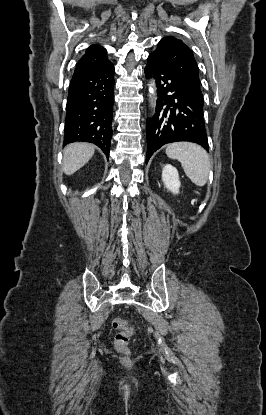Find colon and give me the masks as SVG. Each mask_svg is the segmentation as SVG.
<instances>
[{
  "mask_svg": "<svg viewBox=\"0 0 266 415\" xmlns=\"http://www.w3.org/2000/svg\"><path fill=\"white\" fill-rule=\"evenodd\" d=\"M112 326L114 329L118 331L114 338V344L116 349L119 352H127L129 340L133 335L134 331L133 327L129 324V322L121 318H115L112 321Z\"/></svg>",
  "mask_w": 266,
  "mask_h": 415,
  "instance_id": "5ec220e1",
  "label": "colon"
}]
</instances>
